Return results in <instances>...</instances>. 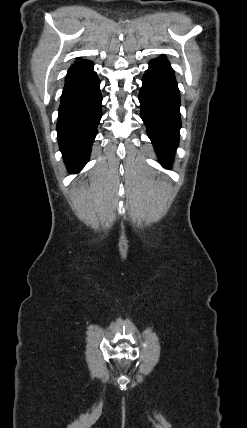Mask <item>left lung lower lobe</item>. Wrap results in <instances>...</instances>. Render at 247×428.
Wrapping results in <instances>:
<instances>
[{
  "instance_id": "obj_1",
  "label": "left lung lower lobe",
  "mask_w": 247,
  "mask_h": 428,
  "mask_svg": "<svg viewBox=\"0 0 247 428\" xmlns=\"http://www.w3.org/2000/svg\"><path fill=\"white\" fill-rule=\"evenodd\" d=\"M142 83L140 116L161 164L170 168L179 143L180 93L174 71L165 56L150 61Z\"/></svg>"
}]
</instances>
